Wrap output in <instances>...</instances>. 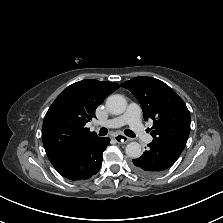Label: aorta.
Here are the masks:
<instances>
[{
    "instance_id": "1",
    "label": "aorta",
    "mask_w": 223,
    "mask_h": 223,
    "mask_svg": "<svg viewBox=\"0 0 223 223\" xmlns=\"http://www.w3.org/2000/svg\"><path fill=\"white\" fill-rule=\"evenodd\" d=\"M106 107L112 114H122L127 107L126 99L120 94L110 95L106 100ZM125 152L130 158H139L142 155L141 145L138 142H130L127 144Z\"/></svg>"
}]
</instances>
